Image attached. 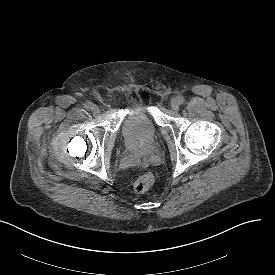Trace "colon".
Segmentation results:
<instances>
[{
	"label": "colon",
	"instance_id": "5ec220e1",
	"mask_svg": "<svg viewBox=\"0 0 275 275\" xmlns=\"http://www.w3.org/2000/svg\"><path fill=\"white\" fill-rule=\"evenodd\" d=\"M154 183V176L151 172L141 174L133 184V189L137 194L147 192Z\"/></svg>",
	"mask_w": 275,
	"mask_h": 275
}]
</instances>
